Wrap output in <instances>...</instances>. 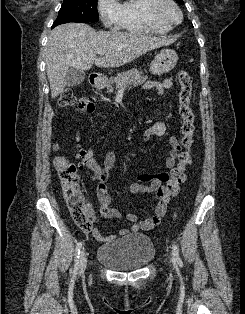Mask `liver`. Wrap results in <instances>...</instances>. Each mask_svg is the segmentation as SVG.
Returning a JSON list of instances; mask_svg holds the SVG:
<instances>
[{"mask_svg":"<svg viewBox=\"0 0 245 314\" xmlns=\"http://www.w3.org/2000/svg\"><path fill=\"white\" fill-rule=\"evenodd\" d=\"M174 40L139 32L95 31L84 23L59 25L49 34L45 48L51 97L55 99L65 89V77L71 68L84 71L93 64L101 68L120 67ZM99 51L106 54L97 58Z\"/></svg>","mask_w":245,"mask_h":314,"instance_id":"liver-1","label":"liver"}]
</instances>
